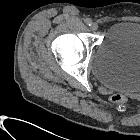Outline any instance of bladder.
Wrapping results in <instances>:
<instances>
[{"label":"bladder","instance_id":"bladder-1","mask_svg":"<svg viewBox=\"0 0 140 140\" xmlns=\"http://www.w3.org/2000/svg\"><path fill=\"white\" fill-rule=\"evenodd\" d=\"M91 70L108 88L140 91V22L111 24L93 53Z\"/></svg>","mask_w":140,"mask_h":140}]
</instances>
